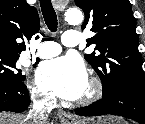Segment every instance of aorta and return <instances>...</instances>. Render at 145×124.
<instances>
[{
    "instance_id": "aorta-1",
    "label": "aorta",
    "mask_w": 145,
    "mask_h": 124,
    "mask_svg": "<svg viewBox=\"0 0 145 124\" xmlns=\"http://www.w3.org/2000/svg\"><path fill=\"white\" fill-rule=\"evenodd\" d=\"M65 16H66L67 22L70 24H78V23H81L83 20L82 12L78 9L67 10Z\"/></svg>"
}]
</instances>
